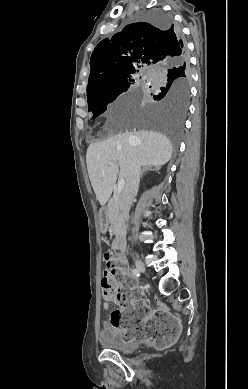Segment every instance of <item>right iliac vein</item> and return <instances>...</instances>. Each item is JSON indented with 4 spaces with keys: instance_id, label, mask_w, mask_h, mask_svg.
Segmentation results:
<instances>
[{
    "instance_id": "1",
    "label": "right iliac vein",
    "mask_w": 248,
    "mask_h": 389,
    "mask_svg": "<svg viewBox=\"0 0 248 389\" xmlns=\"http://www.w3.org/2000/svg\"><path fill=\"white\" fill-rule=\"evenodd\" d=\"M135 265H136L137 269L140 272L144 273L146 271V267H145L144 263L141 260L136 259L135 260Z\"/></svg>"
}]
</instances>
